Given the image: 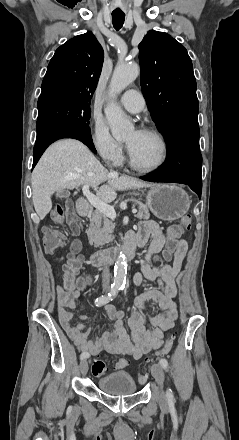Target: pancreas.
Wrapping results in <instances>:
<instances>
[{
  "instance_id": "pancreas-1",
  "label": "pancreas",
  "mask_w": 239,
  "mask_h": 440,
  "mask_svg": "<svg viewBox=\"0 0 239 440\" xmlns=\"http://www.w3.org/2000/svg\"><path fill=\"white\" fill-rule=\"evenodd\" d=\"M138 204V214H136L135 218H139V220H149L150 214L147 206L141 204V202H138ZM114 228L115 224H112V220H109L108 216H105V214H102L99 210H94L93 214H91L88 230H86L89 244L95 246V248H99V246H105V244L113 242L112 232Z\"/></svg>"
}]
</instances>
